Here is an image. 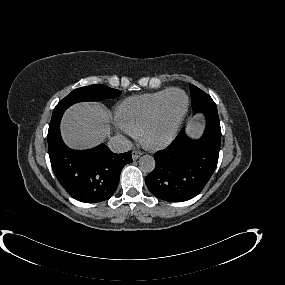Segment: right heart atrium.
<instances>
[{
  "label": "right heart atrium",
  "mask_w": 285,
  "mask_h": 285,
  "mask_svg": "<svg viewBox=\"0 0 285 285\" xmlns=\"http://www.w3.org/2000/svg\"><path fill=\"white\" fill-rule=\"evenodd\" d=\"M119 130L128 136H135V134L123 124L119 125Z\"/></svg>",
  "instance_id": "1"
}]
</instances>
